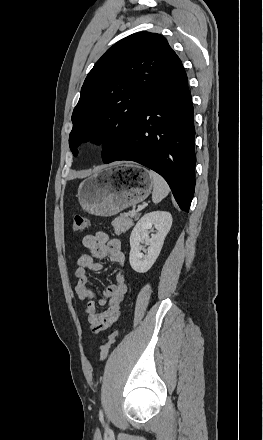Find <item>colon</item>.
Segmentation results:
<instances>
[{"label":"colon","instance_id":"1","mask_svg":"<svg viewBox=\"0 0 263 440\" xmlns=\"http://www.w3.org/2000/svg\"><path fill=\"white\" fill-rule=\"evenodd\" d=\"M89 226V220L82 215H75L72 221V230L81 232ZM117 331L111 333L101 346L100 357L103 360L108 355L113 343L115 342Z\"/></svg>","mask_w":263,"mask_h":440}]
</instances>
